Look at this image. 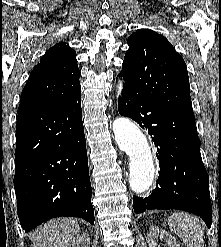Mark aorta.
I'll return each mask as SVG.
<instances>
[{"label": "aorta", "instance_id": "obj_1", "mask_svg": "<svg viewBox=\"0 0 221 247\" xmlns=\"http://www.w3.org/2000/svg\"><path fill=\"white\" fill-rule=\"evenodd\" d=\"M113 132L119 148L130 158L129 185L133 192L143 193L153 182L155 168L146 135L131 120L117 118Z\"/></svg>", "mask_w": 221, "mask_h": 247}]
</instances>
